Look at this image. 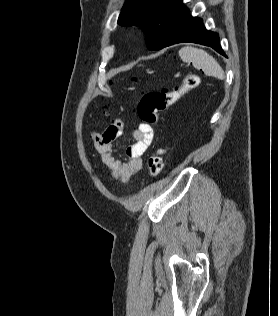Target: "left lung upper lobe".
I'll return each instance as SVG.
<instances>
[{
  "label": "left lung upper lobe",
  "instance_id": "5c2ea615",
  "mask_svg": "<svg viewBox=\"0 0 278 316\" xmlns=\"http://www.w3.org/2000/svg\"><path fill=\"white\" fill-rule=\"evenodd\" d=\"M187 7L182 0H126L118 24L140 26L149 50H160L175 33Z\"/></svg>",
  "mask_w": 278,
  "mask_h": 316
}]
</instances>
